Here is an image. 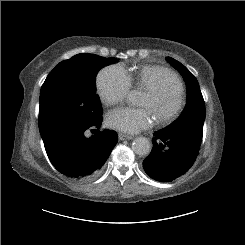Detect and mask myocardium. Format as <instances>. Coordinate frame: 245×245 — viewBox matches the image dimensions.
Masks as SVG:
<instances>
[{
	"label": "myocardium",
	"mask_w": 245,
	"mask_h": 245,
	"mask_svg": "<svg viewBox=\"0 0 245 245\" xmlns=\"http://www.w3.org/2000/svg\"><path fill=\"white\" fill-rule=\"evenodd\" d=\"M164 76L170 80L171 84L161 81L158 85L146 90L156 102L160 101L168 92L172 94V105L167 110L154 114L156 121L161 124L173 120L183 105V97L182 92L178 88L177 75L170 70H166Z\"/></svg>",
	"instance_id": "myocardium-1"
}]
</instances>
